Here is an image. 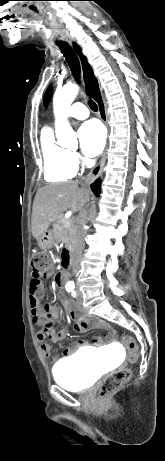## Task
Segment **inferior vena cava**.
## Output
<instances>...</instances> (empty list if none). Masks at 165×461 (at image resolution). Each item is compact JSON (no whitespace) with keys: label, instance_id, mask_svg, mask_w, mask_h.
<instances>
[{"label":"inferior vena cava","instance_id":"1","mask_svg":"<svg viewBox=\"0 0 165 461\" xmlns=\"http://www.w3.org/2000/svg\"><path fill=\"white\" fill-rule=\"evenodd\" d=\"M88 217V212L86 209H83L80 212V218L78 221V226L75 233L74 239V248L72 251V270L74 275H78L80 269V257L82 254V250L84 248V237H85V229L84 226L86 224Z\"/></svg>","mask_w":165,"mask_h":461}]
</instances>
